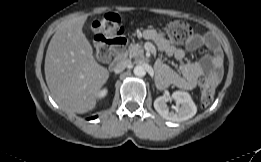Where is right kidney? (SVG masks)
Wrapping results in <instances>:
<instances>
[{
	"label": "right kidney",
	"mask_w": 261,
	"mask_h": 162,
	"mask_svg": "<svg viewBox=\"0 0 261 162\" xmlns=\"http://www.w3.org/2000/svg\"><path fill=\"white\" fill-rule=\"evenodd\" d=\"M108 93V90L106 88H104L103 90H101L98 94L97 97L98 98H104Z\"/></svg>",
	"instance_id": "1"
}]
</instances>
